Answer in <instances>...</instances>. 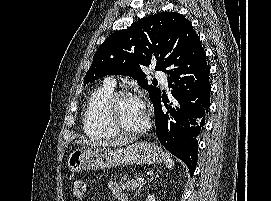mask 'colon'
Listing matches in <instances>:
<instances>
[{"mask_svg":"<svg viewBox=\"0 0 271 201\" xmlns=\"http://www.w3.org/2000/svg\"><path fill=\"white\" fill-rule=\"evenodd\" d=\"M86 194V183L78 180L74 183L73 196L76 201H82Z\"/></svg>","mask_w":271,"mask_h":201,"instance_id":"obj_1","label":"colon"}]
</instances>
